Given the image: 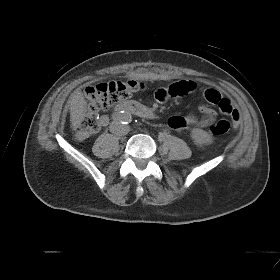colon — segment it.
Instances as JSON below:
<instances>
[{"instance_id": "colon-1", "label": "colon", "mask_w": 280, "mask_h": 280, "mask_svg": "<svg viewBox=\"0 0 280 280\" xmlns=\"http://www.w3.org/2000/svg\"><path fill=\"white\" fill-rule=\"evenodd\" d=\"M143 84L135 81H108L99 83L85 89V97L88 101L87 112L81 121V126L85 131H96L100 126L99 111L107 110L115 104L123 101L134 93L143 89ZM226 106L223 101H216ZM231 121L223 119L210 127L213 135H222L230 130L232 126H237L239 118L236 113H232Z\"/></svg>"}]
</instances>
